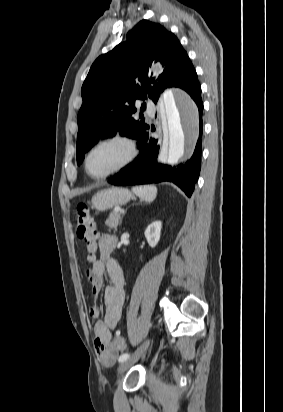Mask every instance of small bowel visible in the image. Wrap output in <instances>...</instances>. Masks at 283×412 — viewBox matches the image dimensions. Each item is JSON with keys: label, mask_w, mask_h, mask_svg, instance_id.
Returning a JSON list of instances; mask_svg holds the SVG:
<instances>
[{"label": "small bowel", "mask_w": 283, "mask_h": 412, "mask_svg": "<svg viewBox=\"0 0 283 412\" xmlns=\"http://www.w3.org/2000/svg\"><path fill=\"white\" fill-rule=\"evenodd\" d=\"M96 239L100 258H90L91 264L87 270V277L96 297L103 289L105 275L108 276L110 284L104 289V317L98 319L99 309L97 305L90 309V315L97 319L93 326V343L101 362L106 366H111L117 358V352L106 355L103 350L111 339L112 330L117 327L121 319L125 300L124 275L120 265L112 257L117 245L116 237L98 233Z\"/></svg>", "instance_id": "c3829d8e"}]
</instances>
